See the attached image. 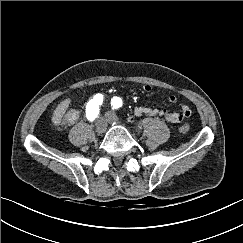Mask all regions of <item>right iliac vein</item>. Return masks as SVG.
I'll use <instances>...</instances> for the list:
<instances>
[{"label": "right iliac vein", "mask_w": 243, "mask_h": 243, "mask_svg": "<svg viewBox=\"0 0 243 243\" xmlns=\"http://www.w3.org/2000/svg\"><path fill=\"white\" fill-rule=\"evenodd\" d=\"M106 129H107L106 119L103 117L99 118L96 122V132L98 134H103V133H105Z\"/></svg>", "instance_id": "right-iliac-vein-1"}]
</instances>
